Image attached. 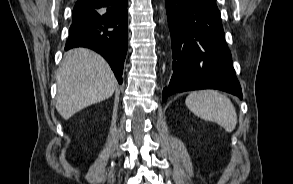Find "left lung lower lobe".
Listing matches in <instances>:
<instances>
[{"label":"left lung lower lobe","instance_id":"obj_1","mask_svg":"<svg viewBox=\"0 0 293 184\" xmlns=\"http://www.w3.org/2000/svg\"><path fill=\"white\" fill-rule=\"evenodd\" d=\"M173 74L162 98L183 91L219 89L242 99L215 0H165Z\"/></svg>","mask_w":293,"mask_h":184}]
</instances>
